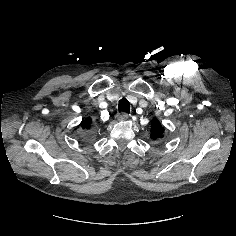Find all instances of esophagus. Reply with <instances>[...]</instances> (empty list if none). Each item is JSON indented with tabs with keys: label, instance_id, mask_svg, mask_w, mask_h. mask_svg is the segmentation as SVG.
I'll return each instance as SVG.
<instances>
[{
	"label": "esophagus",
	"instance_id": "obj_1",
	"mask_svg": "<svg viewBox=\"0 0 236 236\" xmlns=\"http://www.w3.org/2000/svg\"><path fill=\"white\" fill-rule=\"evenodd\" d=\"M128 117H129V115H128L127 113H125V112L120 113V114L118 115V119H119V120H126V119H128Z\"/></svg>",
	"mask_w": 236,
	"mask_h": 236
}]
</instances>
